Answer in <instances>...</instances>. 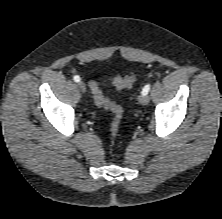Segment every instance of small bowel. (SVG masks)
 Returning a JSON list of instances; mask_svg holds the SVG:
<instances>
[{"mask_svg":"<svg viewBox=\"0 0 222 219\" xmlns=\"http://www.w3.org/2000/svg\"><path fill=\"white\" fill-rule=\"evenodd\" d=\"M90 84L93 85V84H96V83L94 81H92Z\"/></svg>","mask_w":222,"mask_h":219,"instance_id":"c3829d8e","label":"small bowel"}]
</instances>
